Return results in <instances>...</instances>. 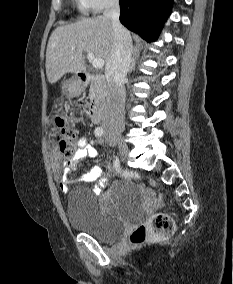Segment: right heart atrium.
I'll use <instances>...</instances> for the list:
<instances>
[{
  "instance_id": "obj_1",
  "label": "right heart atrium",
  "mask_w": 233,
  "mask_h": 284,
  "mask_svg": "<svg viewBox=\"0 0 233 284\" xmlns=\"http://www.w3.org/2000/svg\"><path fill=\"white\" fill-rule=\"evenodd\" d=\"M118 0H83L86 8L93 12H100L103 9L115 4Z\"/></svg>"
}]
</instances>
